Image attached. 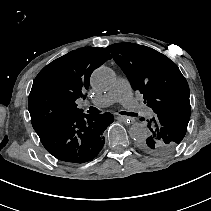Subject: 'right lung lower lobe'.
I'll use <instances>...</instances> for the list:
<instances>
[{"label":"right lung lower lobe","mask_w":211,"mask_h":211,"mask_svg":"<svg viewBox=\"0 0 211 211\" xmlns=\"http://www.w3.org/2000/svg\"><path fill=\"white\" fill-rule=\"evenodd\" d=\"M114 121L110 113L83 112L45 125L37 130L45 149L58 160L81 164L93 160L103 148V133Z\"/></svg>","instance_id":"right-lung-lower-lobe-1"}]
</instances>
